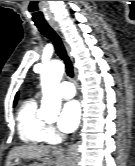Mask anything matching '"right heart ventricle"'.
<instances>
[{
  "mask_svg": "<svg viewBox=\"0 0 135 166\" xmlns=\"http://www.w3.org/2000/svg\"><path fill=\"white\" fill-rule=\"evenodd\" d=\"M46 123L37 114L36 98L25 100L17 113V128L20 139L27 145L37 146L47 141Z\"/></svg>",
  "mask_w": 135,
  "mask_h": 166,
  "instance_id": "obj_1",
  "label": "right heart ventricle"
}]
</instances>
